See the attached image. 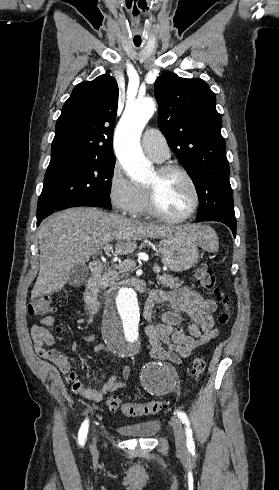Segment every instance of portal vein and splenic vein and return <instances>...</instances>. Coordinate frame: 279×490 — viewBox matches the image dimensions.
Instances as JSON below:
<instances>
[{"mask_svg":"<svg viewBox=\"0 0 279 490\" xmlns=\"http://www.w3.org/2000/svg\"><path fill=\"white\" fill-rule=\"evenodd\" d=\"M105 250H110V248H105ZM123 264H133V262H131V260H126V262H123ZM122 266V264H121ZM154 272H161L160 268H158V266H154L153 268Z\"/></svg>","mask_w":279,"mask_h":490,"instance_id":"obj_1","label":"portal vein and splenic vein"}]
</instances>
